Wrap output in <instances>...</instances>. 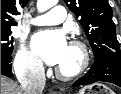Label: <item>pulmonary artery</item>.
Listing matches in <instances>:
<instances>
[{
  "instance_id": "1",
  "label": "pulmonary artery",
  "mask_w": 121,
  "mask_h": 94,
  "mask_svg": "<svg viewBox=\"0 0 121 94\" xmlns=\"http://www.w3.org/2000/svg\"><path fill=\"white\" fill-rule=\"evenodd\" d=\"M67 16L63 6H55L50 12L37 16L31 20L33 25H56L62 23Z\"/></svg>"
}]
</instances>
